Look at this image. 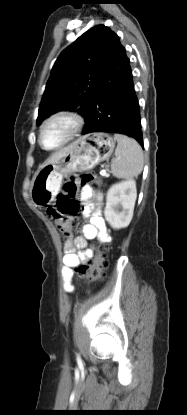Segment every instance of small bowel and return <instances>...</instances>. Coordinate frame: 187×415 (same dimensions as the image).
I'll list each match as a JSON object with an SVG mask.
<instances>
[{
    "mask_svg": "<svg viewBox=\"0 0 187 415\" xmlns=\"http://www.w3.org/2000/svg\"><path fill=\"white\" fill-rule=\"evenodd\" d=\"M81 201L83 204L82 215L89 218V223L82 227V234L73 240L67 239L64 243L65 254L62 259V277L64 289L72 292L74 287L71 283L73 269L82 263L88 262L94 249L87 248L89 239L99 238L103 242L111 240L102 217L103 194L101 191L89 186L81 188Z\"/></svg>",
    "mask_w": 187,
    "mask_h": 415,
    "instance_id": "obj_1",
    "label": "small bowel"
}]
</instances>
